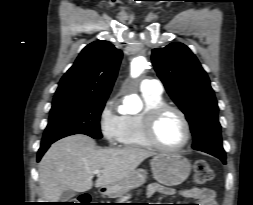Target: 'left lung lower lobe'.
Wrapping results in <instances>:
<instances>
[{
	"mask_svg": "<svg viewBox=\"0 0 253 205\" xmlns=\"http://www.w3.org/2000/svg\"><path fill=\"white\" fill-rule=\"evenodd\" d=\"M213 156L219 158L224 164H226V160H225L226 157H222V156H220V155H213Z\"/></svg>",
	"mask_w": 253,
	"mask_h": 205,
	"instance_id": "left-lung-lower-lobe-1",
	"label": "left lung lower lobe"
}]
</instances>
